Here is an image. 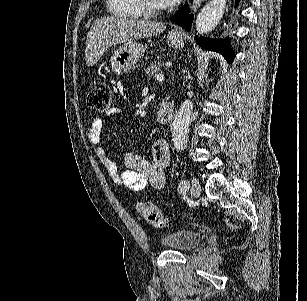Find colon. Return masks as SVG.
Here are the masks:
<instances>
[{"label": "colon", "instance_id": "colon-1", "mask_svg": "<svg viewBox=\"0 0 307 301\" xmlns=\"http://www.w3.org/2000/svg\"><path fill=\"white\" fill-rule=\"evenodd\" d=\"M110 88L105 83L95 85L87 95V103L90 108L97 112H104L110 106ZM139 215L150 225L162 228L168 225V219L161 213L159 208L151 203L142 201L137 204Z\"/></svg>", "mask_w": 307, "mask_h": 301}]
</instances>
